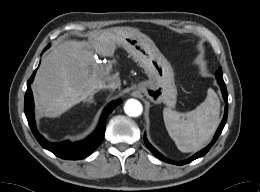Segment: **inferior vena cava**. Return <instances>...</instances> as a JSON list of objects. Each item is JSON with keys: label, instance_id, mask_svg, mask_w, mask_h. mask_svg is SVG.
<instances>
[{"label": "inferior vena cava", "instance_id": "1", "mask_svg": "<svg viewBox=\"0 0 260 192\" xmlns=\"http://www.w3.org/2000/svg\"><path fill=\"white\" fill-rule=\"evenodd\" d=\"M121 85L120 79L116 78V79H112L107 83H103L100 85V89H111V90H115L117 88H119Z\"/></svg>", "mask_w": 260, "mask_h": 192}]
</instances>
